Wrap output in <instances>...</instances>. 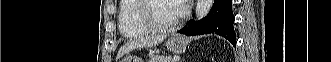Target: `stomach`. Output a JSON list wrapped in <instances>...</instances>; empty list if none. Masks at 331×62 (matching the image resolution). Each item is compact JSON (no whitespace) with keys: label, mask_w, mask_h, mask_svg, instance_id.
<instances>
[{"label":"stomach","mask_w":331,"mask_h":62,"mask_svg":"<svg viewBox=\"0 0 331 62\" xmlns=\"http://www.w3.org/2000/svg\"><path fill=\"white\" fill-rule=\"evenodd\" d=\"M165 45L169 51L180 54L186 50L187 40L184 37L175 34L168 38ZM121 62H143V61L141 59L131 57V58H125Z\"/></svg>","instance_id":"obj_1"}]
</instances>
